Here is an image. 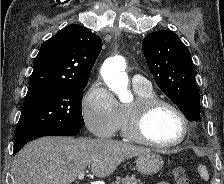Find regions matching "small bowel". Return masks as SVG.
Returning a JSON list of instances; mask_svg holds the SVG:
<instances>
[{"mask_svg":"<svg viewBox=\"0 0 224 184\" xmlns=\"http://www.w3.org/2000/svg\"><path fill=\"white\" fill-rule=\"evenodd\" d=\"M157 184H170L168 182H160V183H157Z\"/></svg>","mask_w":224,"mask_h":184,"instance_id":"c3829d8e","label":"small bowel"}]
</instances>
